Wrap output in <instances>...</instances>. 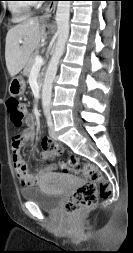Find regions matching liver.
<instances>
[{
    "label": "liver",
    "instance_id": "6515ba94",
    "mask_svg": "<svg viewBox=\"0 0 133 253\" xmlns=\"http://www.w3.org/2000/svg\"><path fill=\"white\" fill-rule=\"evenodd\" d=\"M45 35V26L38 18L27 19L12 27L6 35L5 60L11 77L18 74L27 64L32 52ZM22 40V45L19 41Z\"/></svg>",
    "mask_w": 133,
    "mask_h": 253
}]
</instances>
